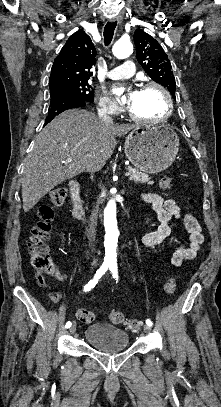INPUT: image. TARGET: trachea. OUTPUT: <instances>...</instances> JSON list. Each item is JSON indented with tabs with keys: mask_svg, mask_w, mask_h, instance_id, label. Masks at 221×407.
<instances>
[{
	"mask_svg": "<svg viewBox=\"0 0 221 407\" xmlns=\"http://www.w3.org/2000/svg\"><path fill=\"white\" fill-rule=\"evenodd\" d=\"M116 25L117 21L108 22L104 27V43L106 46L109 45L112 41Z\"/></svg>",
	"mask_w": 221,
	"mask_h": 407,
	"instance_id": "trachea-1",
	"label": "trachea"
}]
</instances>
